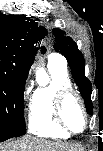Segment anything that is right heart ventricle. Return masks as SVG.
I'll use <instances>...</instances> for the list:
<instances>
[{
  "label": "right heart ventricle",
  "mask_w": 103,
  "mask_h": 151,
  "mask_svg": "<svg viewBox=\"0 0 103 151\" xmlns=\"http://www.w3.org/2000/svg\"><path fill=\"white\" fill-rule=\"evenodd\" d=\"M50 83L38 86L31 94L28 112V128L33 135L50 139H68L70 134L60 128L53 117V105L56 93L71 88L66 67L48 64Z\"/></svg>",
  "instance_id": "right-heart-ventricle-1"
}]
</instances>
